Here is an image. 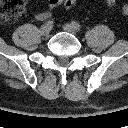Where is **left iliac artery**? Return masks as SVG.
I'll return each mask as SVG.
<instances>
[{
    "label": "left iliac artery",
    "mask_w": 128,
    "mask_h": 128,
    "mask_svg": "<svg viewBox=\"0 0 128 128\" xmlns=\"http://www.w3.org/2000/svg\"><path fill=\"white\" fill-rule=\"evenodd\" d=\"M71 24H72V26H73L76 30H78V31L81 30V26H80V24H79L78 22L72 21Z\"/></svg>",
    "instance_id": "left-iliac-artery-1"
}]
</instances>
